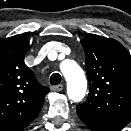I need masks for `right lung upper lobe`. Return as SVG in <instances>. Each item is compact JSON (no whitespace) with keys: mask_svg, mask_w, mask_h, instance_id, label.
Returning a JSON list of instances; mask_svg holds the SVG:
<instances>
[{"mask_svg":"<svg viewBox=\"0 0 131 131\" xmlns=\"http://www.w3.org/2000/svg\"><path fill=\"white\" fill-rule=\"evenodd\" d=\"M28 39H0V131H23L39 114L49 88L25 65Z\"/></svg>","mask_w":131,"mask_h":131,"instance_id":"obj_1","label":"right lung upper lobe"}]
</instances>
